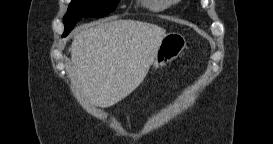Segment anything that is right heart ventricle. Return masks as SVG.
<instances>
[{"label": "right heart ventricle", "mask_w": 273, "mask_h": 144, "mask_svg": "<svg viewBox=\"0 0 273 144\" xmlns=\"http://www.w3.org/2000/svg\"><path fill=\"white\" fill-rule=\"evenodd\" d=\"M140 6L149 12H160L168 6V2L164 0H142Z\"/></svg>", "instance_id": "e07e8e85"}]
</instances>
